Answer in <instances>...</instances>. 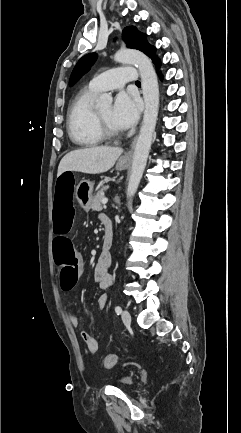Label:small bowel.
<instances>
[{"label":"small bowel","mask_w":241,"mask_h":433,"mask_svg":"<svg viewBox=\"0 0 241 433\" xmlns=\"http://www.w3.org/2000/svg\"><path fill=\"white\" fill-rule=\"evenodd\" d=\"M65 172H72L70 170ZM56 190V186H55ZM56 192V191H55ZM104 217V215L101 216V220ZM111 267V257L110 255H103L100 254L97 263L94 268V280L98 284L100 289H107L111 287L114 283L113 276L109 273V269ZM62 276V275H61ZM108 297L106 294H102L99 296L97 300V305L100 310H103L107 306ZM69 321L72 326L78 327L79 326V318L74 315H69ZM80 336L82 340L85 342L88 350L91 353H96L99 350V342L97 338H95L93 335H91L89 332L82 330L80 332Z\"/></svg>","instance_id":"1"}]
</instances>
